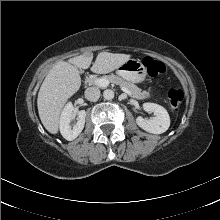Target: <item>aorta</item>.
Segmentation results:
<instances>
[{"instance_id":"obj_1","label":"aorta","mask_w":220,"mask_h":220,"mask_svg":"<svg viewBox=\"0 0 220 220\" xmlns=\"http://www.w3.org/2000/svg\"><path fill=\"white\" fill-rule=\"evenodd\" d=\"M103 97L106 100H112L114 98V92L110 89H107L103 92Z\"/></svg>"}]
</instances>
